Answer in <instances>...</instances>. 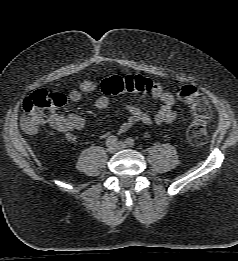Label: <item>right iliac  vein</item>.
Listing matches in <instances>:
<instances>
[{"mask_svg":"<svg viewBox=\"0 0 238 261\" xmlns=\"http://www.w3.org/2000/svg\"><path fill=\"white\" fill-rule=\"evenodd\" d=\"M117 146L116 145H112V146H109L108 148H107V151L109 152V153H115L116 151H117Z\"/></svg>","mask_w":238,"mask_h":261,"instance_id":"right-iliac-vein-1","label":"right iliac vein"}]
</instances>
